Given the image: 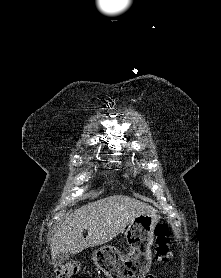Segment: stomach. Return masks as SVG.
Segmentation results:
<instances>
[{
    "instance_id": "stomach-1",
    "label": "stomach",
    "mask_w": 221,
    "mask_h": 278,
    "mask_svg": "<svg viewBox=\"0 0 221 278\" xmlns=\"http://www.w3.org/2000/svg\"><path fill=\"white\" fill-rule=\"evenodd\" d=\"M157 224L158 217L153 213L134 217L125 231L130 257L112 246H104L92 253L94 263L108 278H146L151 272L150 248Z\"/></svg>"
}]
</instances>
